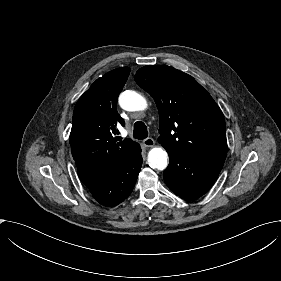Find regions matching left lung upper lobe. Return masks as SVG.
<instances>
[{"label": "left lung upper lobe", "instance_id": "1", "mask_svg": "<svg viewBox=\"0 0 281 281\" xmlns=\"http://www.w3.org/2000/svg\"><path fill=\"white\" fill-rule=\"evenodd\" d=\"M135 81L157 104L158 142L165 149L189 158L225 160L223 114L193 77L172 67L148 65L137 71Z\"/></svg>", "mask_w": 281, "mask_h": 281}]
</instances>
